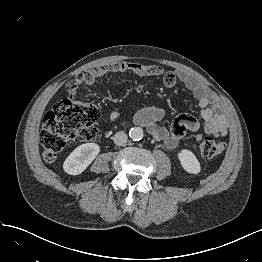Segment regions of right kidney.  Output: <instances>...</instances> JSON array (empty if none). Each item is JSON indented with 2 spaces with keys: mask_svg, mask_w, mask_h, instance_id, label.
<instances>
[{
  "mask_svg": "<svg viewBox=\"0 0 262 262\" xmlns=\"http://www.w3.org/2000/svg\"><path fill=\"white\" fill-rule=\"evenodd\" d=\"M100 147L95 143H86L75 148L66 158L63 169L70 175L82 173L96 158Z\"/></svg>",
  "mask_w": 262,
  "mask_h": 262,
  "instance_id": "1",
  "label": "right kidney"
}]
</instances>
